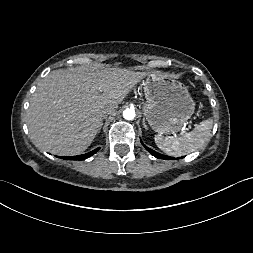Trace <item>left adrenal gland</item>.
Instances as JSON below:
<instances>
[{
	"mask_svg": "<svg viewBox=\"0 0 253 253\" xmlns=\"http://www.w3.org/2000/svg\"><path fill=\"white\" fill-rule=\"evenodd\" d=\"M142 123H143L144 128L147 130V129H148V127H147V125H146V123H145V118H143Z\"/></svg>",
	"mask_w": 253,
	"mask_h": 253,
	"instance_id": "obj_1",
	"label": "left adrenal gland"
}]
</instances>
